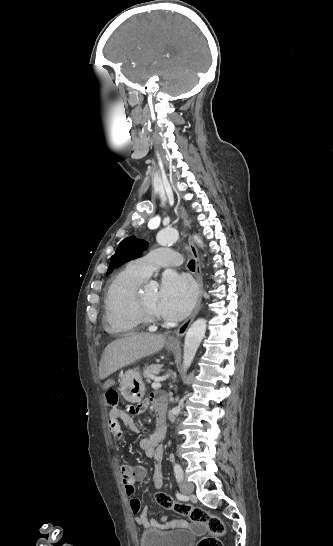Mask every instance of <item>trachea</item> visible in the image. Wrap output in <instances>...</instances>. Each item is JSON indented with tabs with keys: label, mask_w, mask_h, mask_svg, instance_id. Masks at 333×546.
Listing matches in <instances>:
<instances>
[{
	"label": "trachea",
	"mask_w": 333,
	"mask_h": 546,
	"mask_svg": "<svg viewBox=\"0 0 333 546\" xmlns=\"http://www.w3.org/2000/svg\"><path fill=\"white\" fill-rule=\"evenodd\" d=\"M188 268L191 270V271H195V261L194 260H190L189 263H188Z\"/></svg>",
	"instance_id": "obj_1"
}]
</instances>
